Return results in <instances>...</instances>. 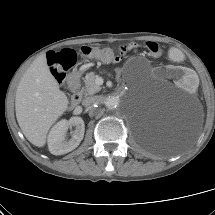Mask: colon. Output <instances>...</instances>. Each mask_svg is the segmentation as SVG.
<instances>
[{"mask_svg": "<svg viewBox=\"0 0 215 215\" xmlns=\"http://www.w3.org/2000/svg\"><path fill=\"white\" fill-rule=\"evenodd\" d=\"M136 47V44H129L121 47L120 52L123 54L134 50ZM146 48L154 57H158L162 54L161 47L155 43H147ZM80 53L83 56L94 57L103 61H113L116 59V53L112 48H100L85 45L80 48ZM76 59L77 53L72 49H64L60 52L51 51L47 55V62L51 73L60 83L63 82L66 71H68L75 64Z\"/></svg>", "mask_w": 215, "mask_h": 215, "instance_id": "colon-1", "label": "colon"}]
</instances>
